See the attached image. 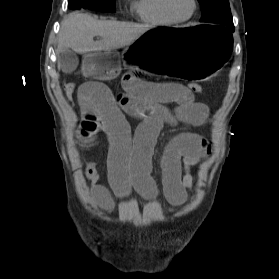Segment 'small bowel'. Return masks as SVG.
Masks as SVG:
<instances>
[{"label": "small bowel", "instance_id": "c3829d8e", "mask_svg": "<svg viewBox=\"0 0 279 279\" xmlns=\"http://www.w3.org/2000/svg\"><path fill=\"white\" fill-rule=\"evenodd\" d=\"M122 86L124 92L114 94L103 83L88 82L77 92L82 117L76 134L81 145L95 148L102 133L110 144L107 183L100 181L96 163L89 162L85 168L92 198L105 210L114 206L111 191L125 196L134 188L155 197L158 189L151 176V160L160 131L179 123L201 126L209 115L208 107L195 101L187 87L149 81L142 70L126 72ZM125 114L141 120L133 136ZM210 152L209 142L196 133H182L166 146L161 160L162 186L171 205L186 201L187 190L197 179L191 168Z\"/></svg>", "mask_w": 279, "mask_h": 279}]
</instances>
